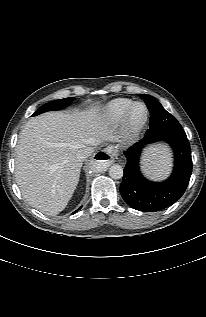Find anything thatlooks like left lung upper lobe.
I'll list each match as a JSON object with an SVG mask.
<instances>
[{"label":"left lung upper lobe","mask_w":206,"mask_h":317,"mask_svg":"<svg viewBox=\"0 0 206 317\" xmlns=\"http://www.w3.org/2000/svg\"><path fill=\"white\" fill-rule=\"evenodd\" d=\"M141 96L151 114L150 128L147 130L146 135L156 136L165 133H185L180 123L162 107L158 100L147 94H141Z\"/></svg>","instance_id":"1"}]
</instances>
